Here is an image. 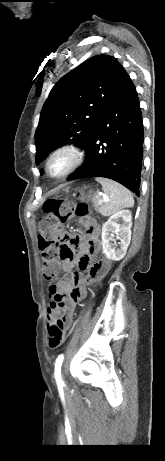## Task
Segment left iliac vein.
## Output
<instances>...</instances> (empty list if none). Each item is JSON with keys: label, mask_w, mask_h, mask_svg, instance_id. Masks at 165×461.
Listing matches in <instances>:
<instances>
[{"label": "left iliac vein", "mask_w": 165, "mask_h": 461, "mask_svg": "<svg viewBox=\"0 0 165 461\" xmlns=\"http://www.w3.org/2000/svg\"><path fill=\"white\" fill-rule=\"evenodd\" d=\"M62 379H63V380H65V377H64V374H63V372H62Z\"/></svg>", "instance_id": "4c4485c4"}]
</instances>
